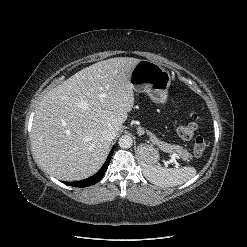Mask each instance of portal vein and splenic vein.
I'll return each mask as SVG.
<instances>
[{"mask_svg":"<svg viewBox=\"0 0 247 247\" xmlns=\"http://www.w3.org/2000/svg\"><path fill=\"white\" fill-rule=\"evenodd\" d=\"M171 158H172V162H174L176 165H178V163L176 162V159H180V156L176 153H173L171 155Z\"/></svg>","mask_w":247,"mask_h":247,"instance_id":"portal-vein-and-splenic-vein-1","label":"portal vein and splenic vein"}]
</instances>
